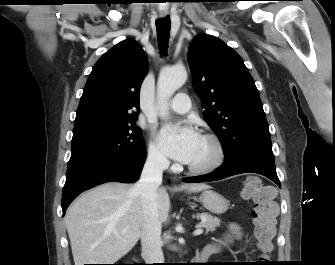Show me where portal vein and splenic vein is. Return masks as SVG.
<instances>
[{"label": "portal vein and splenic vein", "instance_id": "portal-vein-and-splenic-vein-1", "mask_svg": "<svg viewBox=\"0 0 335 265\" xmlns=\"http://www.w3.org/2000/svg\"><path fill=\"white\" fill-rule=\"evenodd\" d=\"M202 233H203V229L198 228L197 230L194 231L193 234L197 236V235H201Z\"/></svg>", "mask_w": 335, "mask_h": 265}]
</instances>
